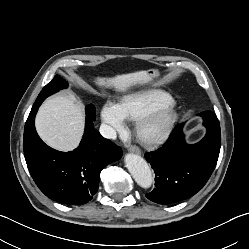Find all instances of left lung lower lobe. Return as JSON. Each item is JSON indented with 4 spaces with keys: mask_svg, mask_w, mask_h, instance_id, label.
Here are the masks:
<instances>
[{
    "mask_svg": "<svg viewBox=\"0 0 249 249\" xmlns=\"http://www.w3.org/2000/svg\"><path fill=\"white\" fill-rule=\"evenodd\" d=\"M206 136L194 145L185 142L183 124L177 125L163 146L145 154L154 169V190L146 195L159 204H169L196 194L211 176L220 152L221 133L217 116L200 113Z\"/></svg>",
    "mask_w": 249,
    "mask_h": 249,
    "instance_id": "0a47b994",
    "label": "left lung lower lobe"
}]
</instances>
